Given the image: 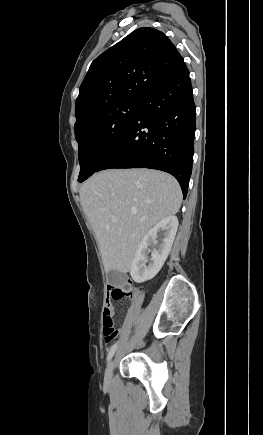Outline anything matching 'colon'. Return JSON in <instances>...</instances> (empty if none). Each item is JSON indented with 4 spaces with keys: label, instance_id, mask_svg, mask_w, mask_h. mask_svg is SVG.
<instances>
[{
    "label": "colon",
    "instance_id": "5ec220e1",
    "mask_svg": "<svg viewBox=\"0 0 263 435\" xmlns=\"http://www.w3.org/2000/svg\"><path fill=\"white\" fill-rule=\"evenodd\" d=\"M109 298L113 300L123 299L129 293L126 285H110ZM117 329L114 326L113 314L111 312L103 313V334L106 342H111L117 336Z\"/></svg>",
    "mask_w": 263,
    "mask_h": 435
}]
</instances>
